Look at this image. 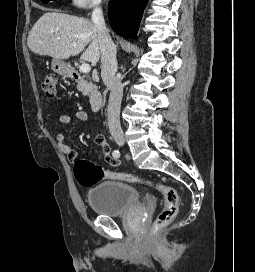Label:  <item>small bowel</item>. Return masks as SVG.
Wrapping results in <instances>:
<instances>
[{
	"mask_svg": "<svg viewBox=\"0 0 255 272\" xmlns=\"http://www.w3.org/2000/svg\"><path fill=\"white\" fill-rule=\"evenodd\" d=\"M76 118L78 119L79 122L86 123L88 121V114L83 110H79L76 112ZM59 122L63 125H68L71 123V117L67 114H62L59 116ZM55 139L61 152L64 153L70 161H74L77 157V152L72 147L65 143L66 139L65 134L58 133ZM95 142L97 145L101 147L104 159L112 166H117L118 165L117 159L112 157L111 149L107 142L106 137L103 134H97L95 136Z\"/></svg>",
	"mask_w": 255,
	"mask_h": 272,
	"instance_id": "c3829d8e",
	"label": "small bowel"
}]
</instances>
